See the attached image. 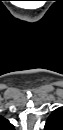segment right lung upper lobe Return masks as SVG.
<instances>
[{"instance_id": "1", "label": "right lung upper lobe", "mask_w": 63, "mask_h": 130, "mask_svg": "<svg viewBox=\"0 0 63 130\" xmlns=\"http://www.w3.org/2000/svg\"><path fill=\"white\" fill-rule=\"evenodd\" d=\"M1 124L3 127H6L8 130L13 129V125L9 123V121L5 118H1Z\"/></svg>"}]
</instances>
